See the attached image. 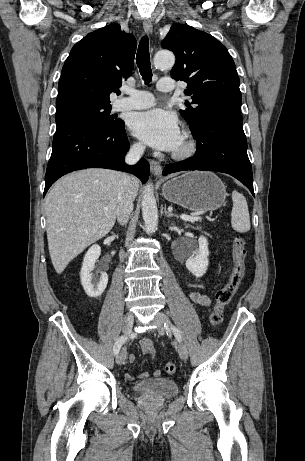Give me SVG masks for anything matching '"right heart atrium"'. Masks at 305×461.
I'll use <instances>...</instances> for the list:
<instances>
[{"instance_id": "obj_1", "label": "right heart atrium", "mask_w": 305, "mask_h": 461, "mask_svg": "<svg viewBox=\"0 0 305 461\" xmlns=\"http://www.w3.org/2000/svg\"><path fill=\"white\" fill-rule=\"evenodd\" d=\"M133 150L134 151H141L142 150V145L140 143H135L133 146H132Z\"/></svg>"}]
</instances>
